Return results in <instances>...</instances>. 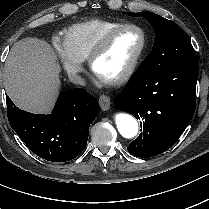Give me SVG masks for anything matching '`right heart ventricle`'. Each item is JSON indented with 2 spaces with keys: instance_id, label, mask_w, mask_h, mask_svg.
Listing matches in <instances>:
<instances>
[{
  "instance_id": "obj_1",
  "label": "right heart ventricle",
  "mask_w": 209,
  "mask_h": 209,
  "mask_svg": "<svg viewBox=\"0 0 209 209\" xmlns=\"http://www.w3.org/2000/svg\"><path fill=\"white\" fill-rule=\"evenodd\" d=\"M119 21L93 18L70 25L63 30V41L78 60H86L100 38Z\"/></svg>"
}]
</instances>
